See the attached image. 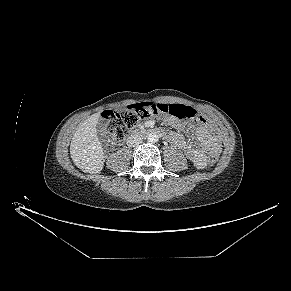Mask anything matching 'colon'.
Masks as SVG:
<instances>
[{"label":"colon","mask_w":291,"mask_h":291,"mask_svg":"<svg viewBox=\"0 0 291 291\" xmlns=\"http://www.w3.org/2000/svg\"><path fill=\"white\" fill-rule=\"evenodd\" d=\"M169 115L179 119L199 118L197 111L183 104L142 103L128 106L121 111L108 110L103 112L100 123V134L119 140L134 128L141 120ZM218 161V154L212 152L208 157L210 165Z\"/></svg>","instance_id":"colon-1"}]
</instances>
